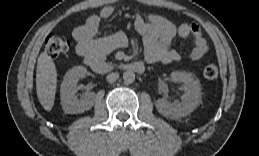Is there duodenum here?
Listing matches in <instances>:
<instances>
[{
    "mask_svg": "<svg viewBox=\"0 0 259 156\" xmlns=\"http://www.w3.org/2000/svg\"><path fill=\"white\" fill-rule=\"evenodd\" d=\"M86 63L91 67L93 71L99 74L109 73L115 69L127 70L132 71L138 74H141L145 71V65L141 61H135L126 64H109L102 60L85 57Z\"/></svg>",
    "mask_w": 259,
    "mask_h": 156,
    "instance_id": "obj_1",
    "label": "duodenum"
}]
</instances>
